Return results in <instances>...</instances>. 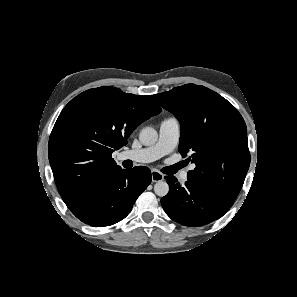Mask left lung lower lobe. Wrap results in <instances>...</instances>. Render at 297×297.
Here are the masks:
<instances>
[{
  "label": "left lung lower lobe",
  "mask_w": 297,
  "mask_h": 297,
  "mask_svg": "<svg viewBox=\"0 0 297 297\" xmlns=\"http://www.w3.org/2000/svg\"><path fill=\"white\" fill-rule=\"evenodd\" d=\"M169 193L161 199L166 214L186 226H202L221 218L231 206L191 181L181 186L174 176H166Z\"/></svg>",
  "instance_id": "obj_1"
}]
</instances>
